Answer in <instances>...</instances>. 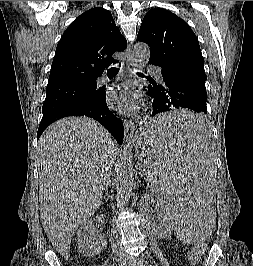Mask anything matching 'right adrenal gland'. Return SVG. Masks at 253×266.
Here are the masks:
<instances>
[{
  "mask_svg": "<svg viewBox=\"0 0 253 266\" xmlns=\"http://www.w3.org/2000/svg\"><path fill=\"white\" fill-rule=\"evenodd\" d=\"M110 185H111V181H108V182H107V188H106V191H107V192H108V190H109Z\"/></svg>",
  "mask_w": 253,
  "mask_h": 266,
  "instance_id": "1",
  "label": "right adrenal gland"
}]
</instances>
